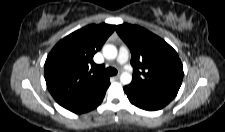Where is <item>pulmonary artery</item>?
Returning a JSON list of instances; mask_svg holds the SVG:
<instances>
[{"mask_svg":"<svg viewBox=\"0 0 225 132\" xmlns=\"http://www.w3.org/2000/svg\"><path fill=\"white\" fill-rule=\"evenodd\" d=\"M118 62L125 65L128 60V50L125 47L119 49Z\"/></svg>","mask_w":225,"mask_h":132,"instance_id":"1","label":"pulmonary artery"}]
</instances>
